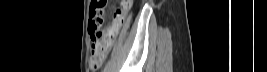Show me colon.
I'll list each match as a JSON object with an SVG mask.
<instances>
[{"label": "colon", "mask_w": 267, "mask_h": 72, "mask_svg": "<svg viewBox=\"0 0 267 72\" xmlns=\"http://www.w3.org/2000/svg\"><path fill=\"white\" fill-rule=\"evenodd\" d=\"M107 4L106 0H95L89 22V32L94 43L89 57V66L91 69H98L111 47L113 40L118 32L116 24L110 25L105 31L101 30L103 23V11Z\"/></svg>", "instance_id": "1"}]
</instances>
